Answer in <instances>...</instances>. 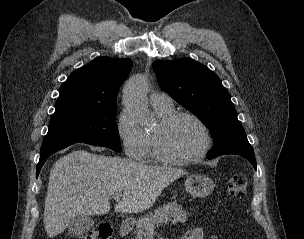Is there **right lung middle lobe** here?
Returning <instances> with one entry per match:
<instances>
[{
    "instance_id": "dd1d6c3e",
    "label": "right lung middle lobe",
    "mask_w": 304,
    "mask_h": 239,
    "mask_svg": "<svg viewBox=\"0 0 304 239\" xmlns=\"http://www.w3.org/2000/svg\"><path fill=\"white\" fill-rule=\"evenodd\" d=\"M117 106L74 108L55 112L42 147L67 143H87L120 152L115 123Z\"/></svg>"
}]
</instances>
